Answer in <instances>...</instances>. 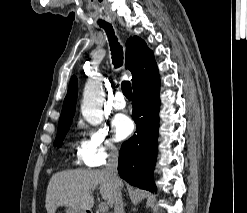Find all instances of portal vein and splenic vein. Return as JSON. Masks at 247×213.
I'll list each match as a JSON object with an SVG mask.
<instances>
[{
	"mask_svg": "<svg viewBox=\"0 0 247 213\" xmlns=\"http://www.w3.org/2000/svg\"><path fill=\"white\" fill-rule=\"evenodd\" d=\"M99 208L102 213H106L109 209L108 204L106 202H101L99 204Z\"/></svg>",
	"mask_w": 247,
	"mask_h": 213,
	"instance_id": "1",
	"label": "portal vein and splenic vein"
}]
</instances>
